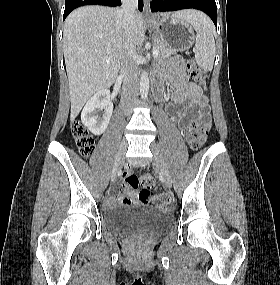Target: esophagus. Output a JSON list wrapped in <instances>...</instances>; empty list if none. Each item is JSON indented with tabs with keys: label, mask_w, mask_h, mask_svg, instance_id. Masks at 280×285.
I'll return each mask as SVG.
<instances>
[{
	"label": "esophagus",
	"mask_w": 280,
	"mask_h": 285,
	"mask_svg": "<svg viewBox=\"0 0 280 285\" xmlns=\"http://www.w3.org/2000/svg\"><path fill=\"white\" fill-rule=\"evenodd\" d=\"M144 15L147 18L153 17L152 14H151V11H150V2H149V0H144Z\"/></svg>",
	"instance_id": "1"
}]
</instances>
